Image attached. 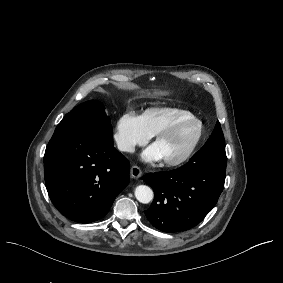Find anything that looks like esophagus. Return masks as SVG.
I'll use <instances>...</instances> for the list:
<instances>
[{
  "label": "esophagus",
  "mask_w": 283,
  "mask_h": 283,
  "mask_svg": "<svg viewBox=\"0 0 283 283\" xmlns=\"http://www.w3.org/2000/svg\"><path fill=\"white\" fill-rule=\"evenodd\" d=\"M130 174L132 178H140L142 176V171L138 166H132Z\"/></svg>",
  "instance_id": "1"
}]
</instances>
